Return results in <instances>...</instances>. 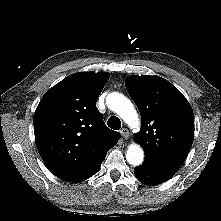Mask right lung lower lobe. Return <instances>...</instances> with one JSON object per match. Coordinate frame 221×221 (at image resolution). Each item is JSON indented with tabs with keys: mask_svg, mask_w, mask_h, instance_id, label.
Returning <instances> with one entry per match:
<instances>
[{
	"mask_svg": "<svg viewBox=\"0 0 221 221\" xmlns=\"http://www.w3.org/2000/svg\"><path fill=\"white\" fill-rule=\"evenodd\" d=\"M102 163V162H101ZM101 163L96 167V168H94L85 178H83L81 181H83V180H86V179H88V178H90L91 176H93L98 170H99V168H100V166H101Z\"/></svg>",
	"mask_w": 221,
	"mask_h": 221,
	"instance_id": "right-lung-lower-lobe-1",
	"label": "right lung lower lobe"
}]
</instances>
